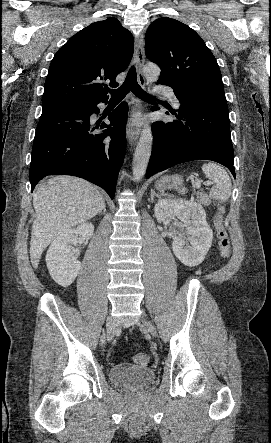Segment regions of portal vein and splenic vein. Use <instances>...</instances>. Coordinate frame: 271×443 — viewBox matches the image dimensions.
Wrapping results in <instances>:
<instances>
[{
  "instance_id": "portal-vein-and-splenic-vein-1",
  "label": "portal vein and splenic vein",
  "mask_w": 271,
  "mask_h": 443,
  "mask_svg": "<svg viewBox=\"0 0 271 443\" xmlns=\"http://www.w3.org/2000/svg\"><path fill=\"white\" fill-rule=\"evenodd\" d=\"M193 190L198 192L200 190L201 182L200 180H193ZM204 186H210V182H204Z\"/></svg>"
}]
</instances>
